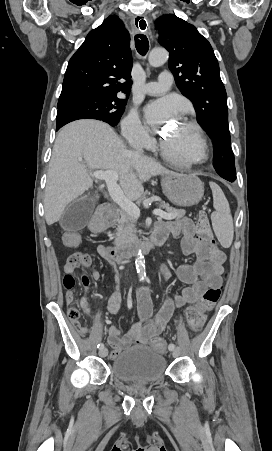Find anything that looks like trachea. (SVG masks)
Wrapping results in <instances>:
<instances>
[{"mask_svg":"<svg viewBox=\"0 0 272 451\" xmlns=\"http://www.w3.org/2000/svg\"><path fill=\"white\" fill-rule=\"evenodd\" d=\"M142 30L146 28V22L144 20H141L140 17L136 20V25H138ZM135 46L137 51L140 53V55H146L148 49H149V42L145 35L138 34L135 35Z\"/></svg>","mask_w":272,"mask_h":451,"instance_id":"1","label":"trachea"}]
</instances>
